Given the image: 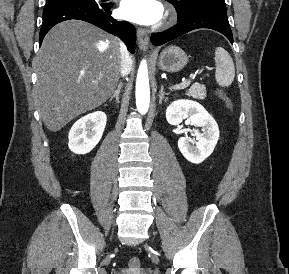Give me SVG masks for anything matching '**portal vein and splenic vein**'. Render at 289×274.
Instances as JSON below:
<instances>
[{"label": "portal vein and splenic vein", "mask_w": 289, "mask_h": 274, "mask_svg": "<svg viewBox=\"0 0 289 274\" xmlns=\"http://www.w3.org/2000/svg\"><path fill=\"white\" fill-rule=\"evenodd\" d=\"M191 81L190 80H186L183 81L181 83H179L178 85H176L175 87H172V89H182V88H186L190 85Z\"/></svg>", "instance_id": "1"}]
</instances>
